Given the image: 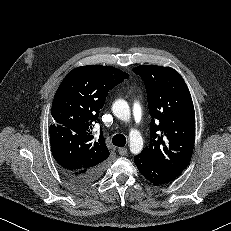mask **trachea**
Returning <instances> with one entry per match:
<instances>
[{
	"mask_svg": "<svg viewBox=\"0 0 231 231\" xmlns=\"http://www.w3.org/2000/svg\"><path fill=\"white\" fill-rule=\"evenodd\" d=\"M112 142L117 147H124L126 144V137L122 134H116L113 136Z\"/></svg>",
	"mask_w": 231,
	"mask_h": 231,
	"instance_id": "3493384b",
	"label": "trachea"
}]
</instances>
